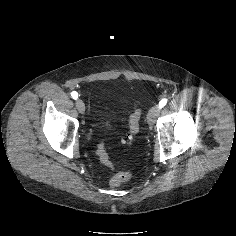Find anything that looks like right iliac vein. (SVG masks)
Here are the masks:
<instances>
[{
  "label": "right iliac vein",
  "instance_id": "right-iliac-vein-1",
  "mask_svg": "<svg viewBox=\"0 0 236 236\" xmlns=\"http://www.w3.org/2000/svg\"><path fill=\"white\" fill-rule=\"evenodd\" d=\"M76 108L78 109L79 113H85V104L81 99L76 100Z\"/></svg>",
  "mask_w": 236,
  "mask_h": 236
}]
</instances>
